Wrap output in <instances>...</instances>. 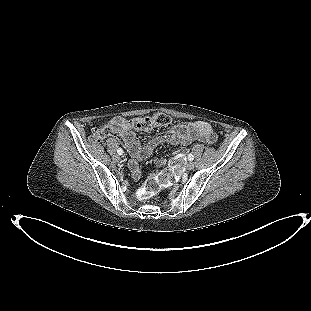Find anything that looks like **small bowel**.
Returning a JSON list of instances; mask_svg holds the SVG:
<instances>
[{"mask_svg":"<svg viewBox=\"0 0 311 311\" xmlns=\"http://www.w3.org/2000/svg\"><path fill=\"white\" fill-rule=\"evenodd\" d=\"M118 121L121 124L119 137L123 145L128 149L131 157L128 162L132 178L137 180L141 176L139 162L147 159L154 149L163 143L169 144H187L191 141L201 139L209 144L213 143L216 136L211 125L208 122L197 120L186 124H176L170 127L164 133L153 137L146 145L141 146L136 140L135 133L130 127L125 126V119L116 117L110 122ZM165 163L164 159H159L157 165L161 166Z\"/></svg>","mask_w":311,"mask_h":311,"instance_id":"c3829d8e","label":"small bowel"}]
</instances>
